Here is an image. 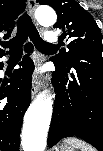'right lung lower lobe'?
<instances>
[{
	"label": "right lung lower lobe",
	"instance_id": "1",
	"mask_svg": "<svg viewBox=\"0 0 103 151\" xmlns=\"http://www.w3.org/2000/svg\"><path fill=\"white\" fill-rule=\"evenodd\" d=\"M32 45L25 46L26 52H32ZM5 53L1 52L0 57ZM22 68L15 69L10 80H0V150L19 151V134L23 116L31 101V78L33 61L25 55L19 63ZM3 64L0 63V69Z\"/></svg>",
	"mask_w": 103,
	"mask_h": 151
}]
</instances>
